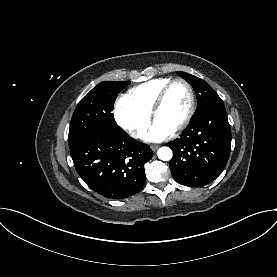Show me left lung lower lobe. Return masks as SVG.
Instances as JSON below:
<instances>
[{"instance_id": "obj_1", "label": "left lung lower lobe", "mask_w": 277, "mask_h": 277, "mask_svg": "<svg viewBox=\"0 0 277 277\" xmlns=\"http://www.w3.org/2000/svg\"><path fill=\"white\" fill-rule=\"evenodd\" d=\"M173 150L170 170L174 179L188 187L215 180L225 168L231 146V129L222 101L196 114L180 138L167 144Z\"/></svg>"}]
</instances>
